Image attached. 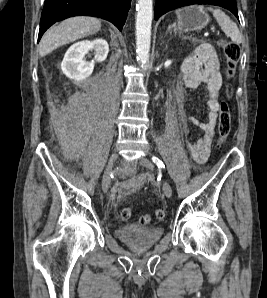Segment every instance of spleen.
Masks as SVG:
<instances>
[{
    "label": "spleen",
    "instance_id": "obj_1",
    "mask_svg": "<svg viewBox=\"0 0 267 298\" xmlns=\"http://www.w3.org/2000/svg\"><path fill=\"white\" fill-rule=\"evenodd\" d=\"M201 7V6H198ZM213 13L214 18L217 20V23L221 27L222 31L230 37V39L235 44H240L242 42V35L236 25L235 22H233L228 15H226L222 10L220 9H213L208 8Z\"/></svg>",
    "mask_w": 267,
    "mask_h": 298
}]
</instances>
